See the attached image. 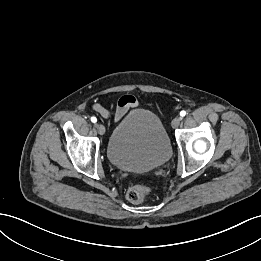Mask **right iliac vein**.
Returning <instances> with one entry per match:
<instances>
[{
  "label": "right iliac vein",
  "mask_w": 261,
  "mask_h": 261,
  "mask_svg": "<svg viewBox=\"0 0 261 261\" xmlns=\"http://www.w3.org/2000/svg\"><path fill=\"white\" fill-rule=\"evenodd\" d=\"M95 127L100 135L105 133V127L102 124H95Z\"/></svg>",
  "instance_id": "obj_1"
}]
</instances>
